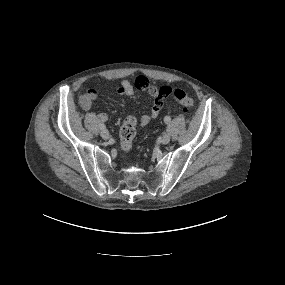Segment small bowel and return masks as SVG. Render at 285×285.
<instances>
[{
  "label": "small bowel",
  "mask_w": 285,
  "mask_h": 285,
  "mask_svg": "<svg viewBox=\"0 0 285 285\" xmlns=\"http://www.w3.org/2000/svg\"><path fill=\"white\" fill-rule=\"evenodd\" d=\"M143 77V76H140ZM138 77V78H140ZM137 78V79H138ZM135 89L140 91L147 92L151 97V105L150 110L148 113L142 115L139 119L138 125L140 127L147 126L151 120L157 118L162 110L164 99L169 97L173 93V89L168 86H162L158 87L153 83H150L147 79V82L144 87H138L135 81V87L127 80H123L118 89L117 92L124 96H133L135 94ZM97 97V91L94 89H90L85 93L81 99L80 104L84 110H89L92 107V104L94 100ZM98 119L105 123L108 121L109 116L106 113H100L98 115Z\"/></svg>",
  "instance_id": "small-bowel-1"
}]
</instances>
